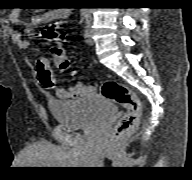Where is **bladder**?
I'll use <instances>...</instances> for the list:
<instances>
[{
    "label": "bladder",
    "instance_id": "31cf9c89",
    "mask_svg": "<svg viewBox=\"0 0 192 180\" xmlns=\"http://www.w3.org/2000/svg\"><path fill=\"white\" fill-rule=\"evenodd\" d=\"M48 109L56 123L73 129L88 127L117 112L114 103L100 96L75 100L49 99Z\"/></svg>",
    "mask_w": 192,
    "mask_h": 180
}]
</instances>
